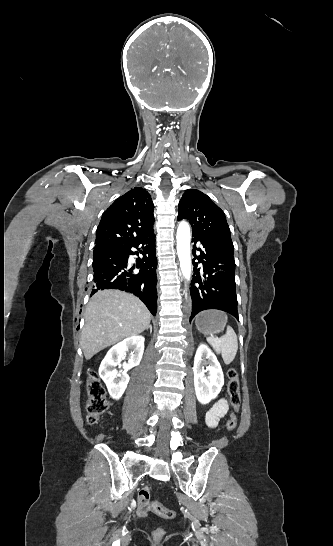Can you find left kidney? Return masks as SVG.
<instances>
[{
    "label": "left kidney",
    "instance_id": "left-kidney-1",
    "mask_svg": "<svg viewBox=\"0 0 333 546\" xmlns=\"http://www.w3.org/2000/svg\"><path fill=\"white\" fill-rule=\"evenodd\" d=\"M207 364L209 366L204 369L203 365ZM193 372L197 399L202 404H207L221 391L224 375L215 354L204 343L197 348Z\"/></svg>",
    "mask_w": 333,
    "mask_h": 546
}]
</instances>
